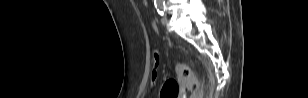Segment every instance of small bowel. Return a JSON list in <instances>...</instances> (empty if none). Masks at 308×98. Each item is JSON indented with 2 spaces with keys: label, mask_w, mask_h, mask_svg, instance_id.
I'll list each match as a JSON object with an SVG mask.
<instances>
[{
  "label": "small bowel",
  "mask_w": 308,
  "mask_h": 98,
  "mask_svg": "<svg viewBox=\"0 0 308 98\" xmlns=\"http://www.w3.org/2000/svg\"><path fill=\"white\" fill-rule=\"evenodd\" d=\"M144 4L147 5V1H144Z\"/></svg>",
  "instance_id": "1"
}]
</instances>
